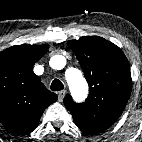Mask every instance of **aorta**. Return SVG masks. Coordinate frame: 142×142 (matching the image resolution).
I'll return each mask as SVG.
<instances>
[{
  "instance_id": "aorta-1",
  "label": "aorta",
  "mask_w": 142,
  "mask_h": 142,
  "mask_svg": "<svg viewBox=\"0 0 142 142\" xmlns=\"http://www.w3.org/2000/svg\"><path fill=\"white\" fill-rule=\"evenodd\" d=\"M64 61L63 57H60ZM66 80L74 96L84 99L88 93V85L81 72L78 69L70 68L66 71Z\"/></svg>"
}]
</instances>
